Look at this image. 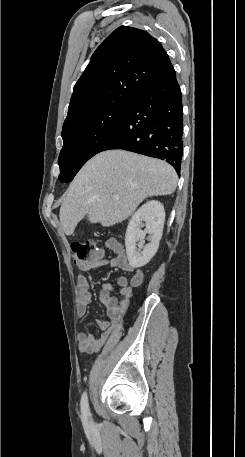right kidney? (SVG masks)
Here are the masks:
<instances>
[{
	"instance_id": "1",
	"label": "right kidney",
	"mask_w": 245,
	"mask_h": 457,
	"mask_svg": "<svg viewBox=\"0 0 245 457\" xmlns=\"http://www.w3.org/2000/svg\"><path fill=\"white\" fill-rule=\"evenodd\" d=\"M164 220L165 210L159 200H148L134 212L125 235L126 255L130 267L133 269L144 267L154 257L161 241ZM143 226L145 229L141 231ZM147 233L149 235L147 241L150 243L144 245Z\"/></svg>"
}]
</instances>
